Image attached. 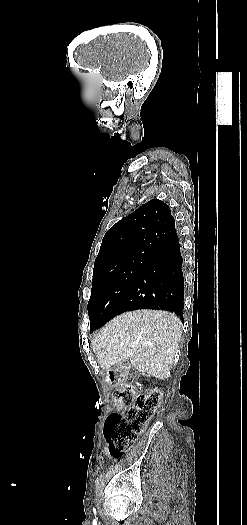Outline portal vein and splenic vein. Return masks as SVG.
<instances>
[{
	"label": "portal vein and splenic vein",
	"instance_id": "obj_1",
	"mask_svg": "<svg viewBox=\"0 0 247 525\" xmlns=\"http://www.w3.org/2000/svg\"><path fill=\"white\" fill-rule=\"evenodd\" d=\"M133 346H135V343H132V345H130V348H133Z\"/></svg>",
	"mask_w": 247,
	"mask_h": 525
}]
</instances>
